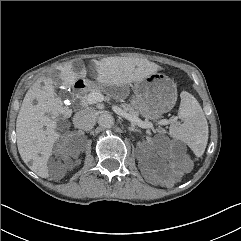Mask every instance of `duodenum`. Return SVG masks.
I'll list each match as a JSON object with an SVG mask.
<instances>
[{
	"label": "duodenum",
	"mask_w": 241,
	"mask_h": 241,
	"mask_svg": "<svg viewBox=\"0 0 241 241\" xmlns=\"http://www.w3.org/2000/svg\"><path fill=\"white\" fill-rule=\"evenodd\" d=\"M89 87V83L83 80L76 81L73 84V99L77 100L80 95Z\"/></svg>",
	"instance_id": "410a0bca"
}]
</instances>
